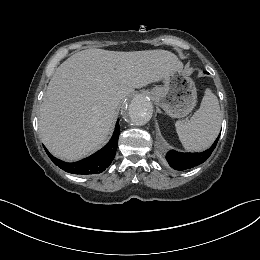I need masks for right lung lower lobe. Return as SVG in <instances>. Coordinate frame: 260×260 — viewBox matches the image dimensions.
<instances>
[{
  "instance_id": "right-lung-lower-lobe-1",
  "label": "right lung lower lobe",
  "mask_w": 260,
  "mask_h": 260,
  "mask_svg": "<svg viewBox=\"0 0 260 260\" xmlns=\"http://www.w3.org/2000/svg\"><path fill=\"white\" fill-rule=\"evenodd\" d=\"M119 132V121H117L115 131L110 141L93 155L78 162L66 163L54 158L46 148L45 151L53 163L66 172L80 175L101 173L111 164L115 157Z\"/></svg>"
}]
</instances>
